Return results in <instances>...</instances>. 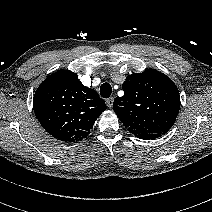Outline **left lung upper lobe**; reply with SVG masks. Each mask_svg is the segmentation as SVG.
Wrapping results in <instances>:
<instances>
[{
	"label": "left lung upper lobe",
	"mask_w": 212,
	"mask_h": 212,
	"mask_svg": "<svg viewBox=\"0 0 212 212\" xmlns=\"http://www.w3.org/2000/svg\"><path fill=\"white\" fill-rule=\"evenodd\" d=\"M122 88L124 96L115 98L113 108L129 132L141 139L169 131L180 109L179 91L169 77L148 69L129 75Z\"/></svg>",
	"instance_id": "obj_1"
}]
</instances>
